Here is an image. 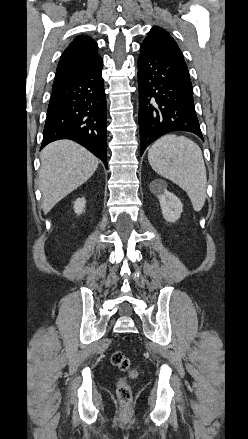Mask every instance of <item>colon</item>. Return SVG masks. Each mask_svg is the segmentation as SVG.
Returning <instances> with one entry per match:
<instances>
[{"label":"colon","instance_id":"1","mask_svg":"<svg viewBox=\"0 0 248 439\" xmlns=\"http://www.w3.org/2000/svg\"><path fill=\"white\" fill-rule=\"evenodd\" d=\"M111 363L126 375L117 383V396L120 402L127 404L132 397V391L129 382L138 376V372L131 365L129 358L122 351H115L111 356Z\"/></svg>","mask_w":248,"mask_h":439}]
</instances>
